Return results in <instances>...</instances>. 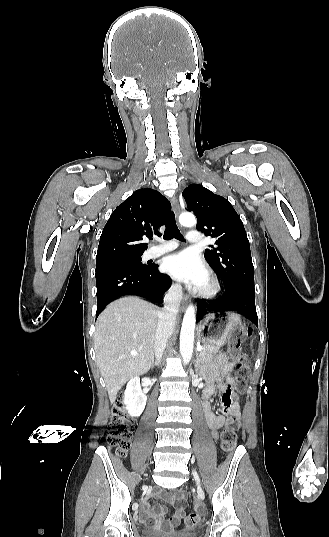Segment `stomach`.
<instances>
[{"instance_id": "obj_1", "label": "stomach", "mask_w": 329, "mask_h": 537, "mask_svg": "<svg viewBox=\"0 0 329 537\" xmlns=\"http://www.w3.org/2000/svg\"><path fill=\"white\" fill-rule=\"evenodd\" d=\"M240 316L230 312L210 314L199 327V337L207 345H224L232 334L242 331Z\"/></svg>"}]
</instances>
